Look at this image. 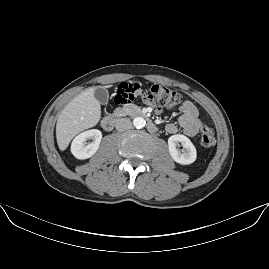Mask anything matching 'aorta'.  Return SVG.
I'll return each mask as SVG.
<instances>
[{"label": "aorta", "instance_id": "obj_1", "mask_svg": "<svg viewBox=\"0 0 269 269\" xmlns=\"http://www.w3.org/2000/svg\"><path fill=\"white\" fill-rule=\"evenodd\" d=\"M146 121L142 117H135L133 119V126L136 128H142L145 125Z\"/></svg>", "mask_w": 269, "mask_h": 269}]
</instances>
